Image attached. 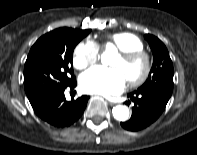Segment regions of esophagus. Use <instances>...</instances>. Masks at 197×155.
<instances>
[{
  "label": "esophagus",
  "mask_w": 197,
  "mask_h": 155,
  "mask_svg": "<svg viewBox=\"0 0 197 155\" xmlns=\"http://www.w3.org/2000/svg\"><path fill=\"white\" fill-rule=\"evenodd\" d=\"M108 103L111 105V106H114L116 103L115 102H112V101H108Z\"/></svg>",
  "instance_id": "esophagus-1"
}]
</instances>
